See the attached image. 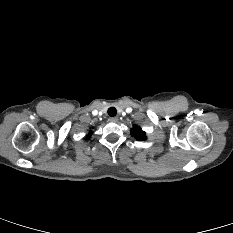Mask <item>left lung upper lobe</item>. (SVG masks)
<instances>
[{"label": "left lung upper lobe", "mask_w": 233, "mask_h": 233, "mask_svg": "<svg viewBox=\"0 0 233 233\" xmlns=\"http://www.w3.org/2000/svg\"><path fill=\"white\" fill-rule=\"evenodd\" d=\"M130 132L131 135L134 136V138L138 141L146 139L145 132H143L142 129L137 125H134V128H132Z\"/></svg>", "instance_id": "1"}]
</instances>
